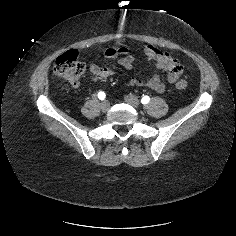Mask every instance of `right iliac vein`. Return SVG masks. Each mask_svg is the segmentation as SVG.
I'll use <instances>...</instances> for the list:
<instances>
[{"label":"right iliac vein","mask_w":236,"mask_h":236,"mask_svg":"<svg viewBox=\"0 0 236 236\" xmlns=\"http://www.w3.org/2000/svg\"><path fill=\"white\" fill-rule=\"evenodd\" d=\"M100 108L103 112H106L109 110L110 108V103L108 101H103L101 104H100Z\"/></svg>","instance_id":"1"}]
</instances>
